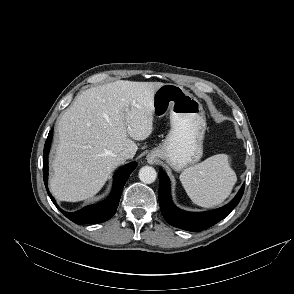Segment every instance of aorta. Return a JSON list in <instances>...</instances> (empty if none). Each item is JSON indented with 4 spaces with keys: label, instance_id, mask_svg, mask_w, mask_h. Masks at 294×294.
I'll list each match as a JSON object with an SVG mask.
<instances>
[{
    "label": "aorta",
    "instance_id": "obj_1",
    "mask_svg": "<svg viewBox=\"0 0 294 294\" xmlns=\"http://www.w3.org/2000/svg\"><path fill=\"white\" fill-rule=\"evenodd\" d=\"M157 173L153 167L144 166L139 170V179L145 184H151L156 180Z\"/></svg>",
    "mask_w": 294,
    "mask_h": 294
}]
</instances>
